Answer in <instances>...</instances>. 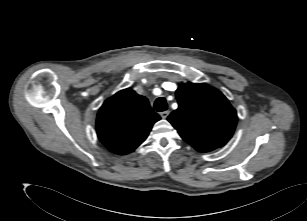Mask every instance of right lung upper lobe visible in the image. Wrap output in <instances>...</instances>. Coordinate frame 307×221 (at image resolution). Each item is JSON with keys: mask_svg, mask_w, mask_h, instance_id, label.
<instances>
[{"mask_svg": "<svg viewBox=\"0 0 307 221\" xmlns=\"http://www.w3.org/2000/svg\"><path fill=\"white\" fill-rule=\"evenodd\" d=\"M158 120L160 116L152 111L147 98L127 88L107 99L100 108L97 135L111 152L124 155L147 138Z\"/></svg>", "mask_w": 307, "mask_h": 221, "instance_id": "right-lung-upper-lobe-1", "label": "right lung upper lobe"}]
</instances>
